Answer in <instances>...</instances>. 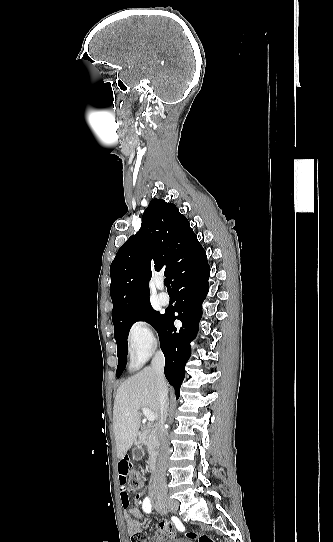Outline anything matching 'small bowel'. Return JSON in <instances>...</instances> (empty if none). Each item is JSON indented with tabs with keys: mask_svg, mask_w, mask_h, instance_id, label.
Wrapping results in <instances>:
<instances>
[{
	"mask_svg": "<svg viewBox=\"0 0 333 542\" xmlns=\"http://www.w3.org/2000/svg\"><path fill=\"white\" fill-rule=\"evenodd\" d=\"M128 460L122 459L119 462L118 467V482H119V492H120V501L121 505L124 509V519L127 525V529L130 533H133L135 531H139L142 523L138 520L141 519L144 515V510L140 508V506L143 504V495L138 493L135 495L134 501L135 506L130 507V500L126 488V478H127V472H128ZM161 528L166 530L168 534L173 537L176 534V529L173 528L168 522H162ZM160 534H157L155 536V541L160 542Z\"/></svg>",
	"mask_w": 333,
	"mask_h": 542,
	"instance_id": "obj_1",
	"label": "small bowel"
}]
</instances>
